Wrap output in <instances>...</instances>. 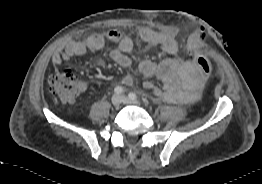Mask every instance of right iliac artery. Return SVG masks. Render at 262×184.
Listing matches in <instances>:
<instances>
[{"mask_svg":"<svg viewBox=\"0 0 262 184\" xmlns=\"http://www.w3.org/2000/svg\"><path fill=\"white\" fill-rule=\"evenodd\" d=\"M114 92H115L116 94H122V93L124 92V89H123L121 86H116V87L114 88Z\"/></svg>","mask_w":262,"mask_h":184,"instance_id":"1","label":"right iliac artery"}]
</instances>
